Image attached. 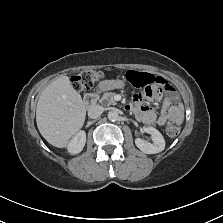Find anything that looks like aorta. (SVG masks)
Listing matches in <instances>:
<instances>
[{"instance_id": "1", "label": "aorta", "mask_w": 223, "mask_h": 223, "mask_svg": "<svg viewBox=\"0 0 223 223\" xmlns=\"http://www.w3.org/2000/svg\"><path fill=\"white\" fill-rule=\"evenodd\" d=\"M118 117H119V115H118V113L117 112H115V111H110L109 113H108V119L110 120V121H117L118 120Z\"/></svg>"}]
</instances>
